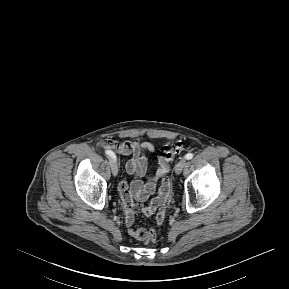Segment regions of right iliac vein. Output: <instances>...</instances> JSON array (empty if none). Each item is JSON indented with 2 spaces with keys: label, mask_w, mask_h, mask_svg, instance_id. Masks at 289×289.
Masks as SVG:
<instances>
[{
  "label": "right iliac vein",
  "mask_w": 289,
  "mask_h": 289,
  "mask_svg": "<svg viewBox=\"0 0 289 289\" xmlns=\"http://www.w3.org/2000/svg\"><path fill=\"white\" fill-rule=\"evenodd\" d=\"M109 164H110V167H111V170H112V174L114 176H117V174H118V165H117V163L115 162V160L110 159L109 160Z\"/></svg>",
  "instance_id": "obj_1"
}]
</instances>
